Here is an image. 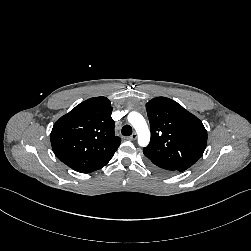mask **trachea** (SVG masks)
Wrapping results in <instances>:
<instances>
[{"label":"trachea","instance_id":"trachea-1","mask_svg":"<svg viewBox=\"0 0 251 251\" xmlns=\"http://www.w3.org/2000/svg\"><path fill=\"white\" fill-rule=\"evenodd\" d=\"M122 135L124 136H129L132 134V127L130 125H125L123 128H122Z\"/></svg>","mask_w":251,"mask_h":251}]
</instances>
